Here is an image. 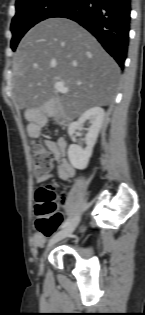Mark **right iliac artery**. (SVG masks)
<instances>
[{"label":"right iliac artery","mask_w":145,"mask_h":315,"mask_svg":"<svg viewBox=\"0 0 145 315\" xmlns=\"http://www.w3.org/2000/svg\"><path fill=\"white\" fill-rule=\"evenodd\" d=\"M71 222V217H69L61 226L60 228H65Z\"/></svg>","instance_id":"right-iliac-artery-1"}]
</instances>
